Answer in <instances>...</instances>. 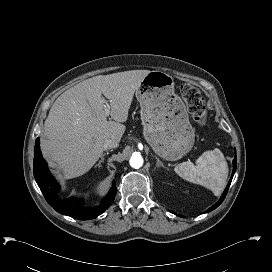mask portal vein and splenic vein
<instances>
[{"label": "portal vein and splenic vein", "instance_id": "18ae733b", "mask_svg": "<svg viewBox=\"0 0 272 272\" xmlns=\"http://www.w3.org/2000/svg\"><path fill=\"white\" fill-rule=\"evenodd\" d=\"M104 112H105L106 116H109V114H110V107H109L108 102H106V101H105V105H104Z\"/></svg>", "mask_w": 272, "mask_h": 272}]
</instances>
